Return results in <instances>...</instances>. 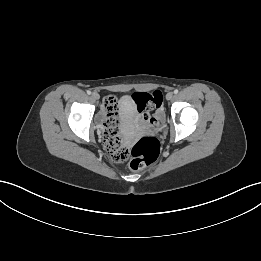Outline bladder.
<instances>
[{"label": "bladder", "mask_w": 261, "mask_h": 261, "mask_svg": "<svg viewBox=\"0 0 261 261\" xmlns=\"http://www.w3.org/2000/svg\"><path fill=\"white\" fill-rule=\"evenodd\" d=\"M118 109L122 120L127 125H133L135 120V106L132 98L128 95L122 96L118 103Z\"/></svg>", "instance_id": "bladder-1"}]
</instances>
